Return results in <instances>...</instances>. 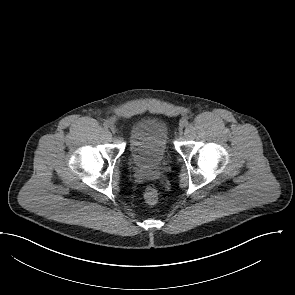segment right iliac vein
Returning <instances> with one entry per match:
<instances>
[{
    "label": "right iliac vein",
    "instance_id": "1",
    "mask_svg": "<svg viewBox=\"0 0 295 295\" xmlns=\"http://www.w3.org/2000/svg\"><path fill=\"white\" fill-rule=\"evenodd\" d=\"M111 131L114 133L116 131V128L114 126H112Z\"/></svg>",
    "mask_w": 295,
    "mask_h": 295
}]
</instances>
